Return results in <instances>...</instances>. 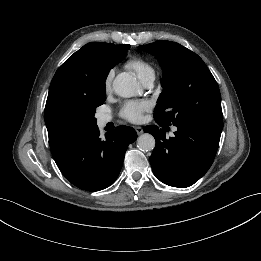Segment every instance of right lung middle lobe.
I'll list each match as a JSON object with an SVG mask.
<instances>
[{
	"instance_id": "dd1d6c3e",
	"label": "right lung middle lobe",
	"mask_w": 261,
	"mask_h": 261,
	"mask_svg": "<svg viewBox=\"0 0 261 261\" xmlns=\"http://www.w3.org/2000/svg\"><path fill=\"white\" fill-rule=\"evenodd\" d=\"M129 48L130 46H128V50ZM126 52L127 50L118 61L102 67L101 85L94 97L81 103L68 105L60 110L56 120V131L61 143H72L97 127L94 114L96 108L106 100V77L109 70L124 59Z\"/></svg>"
}]
</instances>
